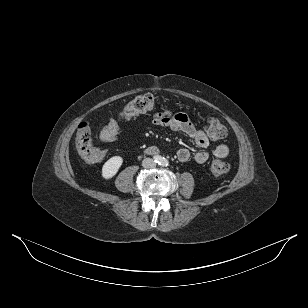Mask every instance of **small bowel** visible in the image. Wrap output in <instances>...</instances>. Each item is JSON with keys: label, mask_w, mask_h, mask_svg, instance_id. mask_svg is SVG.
<instances>
[{"label": "small bowel", "mask_w": 308, "mask_h": 308, "mask_svg": "<svg viewBox=\"0 0 308 308\" xmlns=\"http://www.w3.org/2000/svg\"><path fill=\"white\" fill-rule=\"evenodd\" d=\"M117 120L121 126L123 121L122 115ZM151 122L156 126L168 127L173 131L181 132L190 137L195 144L200 148H207L209 146V139L205 132L197 129L190 121L185 113H171L169 111L158 112L151 118ZM119 126V128H120ZM110 140L107 142H112ZM106 142V141H105ZM229 153V149L225 144H219L215 148V155L218 158H225ZM177 158L181 162H187L190 159V152L186 148H181L177 151ZM209 158V154L206 151H198L194 155V159L197 163H205Z\"/></svg>", "instance_id": "c3829d8e"}]
</instances>
